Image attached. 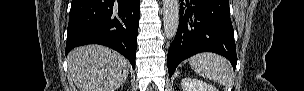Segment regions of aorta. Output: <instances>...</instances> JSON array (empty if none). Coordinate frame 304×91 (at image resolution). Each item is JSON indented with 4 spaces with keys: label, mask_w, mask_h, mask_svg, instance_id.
I'll list each match as a JSON object with an SVG mask.
<instances>
[{
    "label": "aorta",
    "mask_w": 304,
    "mask_h": 91,
    "mask_svg": "<svg viewBox=\"0 0 304 91\" xmlns=\"http://www.w3.org/2000/svg\"><path fill=\"white\" fill-rule=\"evenodd\" d=\"M179 0H163V22L166 38L173 39L179 26Z\"/></svg>",
    "instance_id": "762f6f07"
}]
</instances>
